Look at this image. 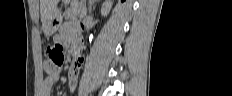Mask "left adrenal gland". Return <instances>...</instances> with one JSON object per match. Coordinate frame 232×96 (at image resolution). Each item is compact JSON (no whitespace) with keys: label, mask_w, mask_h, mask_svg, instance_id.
Segmentation results:
<instances>
[{"label":"left adrenal gland","mask_w":232,"mask_h":96,"mask_svg":"<svg viewBox=\"0 0 232 96\" xmlns=\"http://www.w3.org/2000/svg\"><path fill=\"white\" fill-rule=\"evenodd\" d=\"M92 12V5H90V8H89V14Z\"/></svg>","instance_id":"1"}]
</instances>
